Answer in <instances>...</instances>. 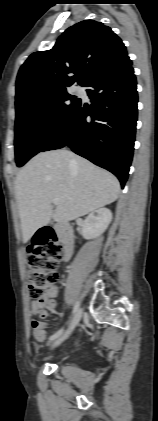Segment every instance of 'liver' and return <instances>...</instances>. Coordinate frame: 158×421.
<instances>
[{
	"label": "liver",
	"instance_id": "1",
	"mask_svg": "<svg viewBox=\"0 0 158 421\" xmlns=\"http://www.w3.org/2000/svg\"><path fill=\"white\" fill-rule=\"evenodd\" d=\"M120 184L110 172L68 150L40 152L17 174L18 203L23 242L51 219L75 220L114 202ZM59 205L53 212L52 202Z\"/></svg>",
	"mask_w": 158,
	"mask_h": 421
}]
</instances>
